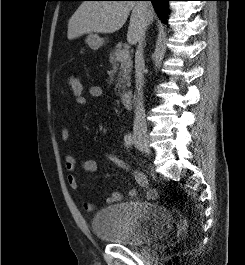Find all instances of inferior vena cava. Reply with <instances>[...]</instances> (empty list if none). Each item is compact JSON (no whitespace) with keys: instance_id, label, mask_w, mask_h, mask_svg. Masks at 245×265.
I'll list each match as a JSON object with an SVG mask.
<instances>
[{"instance_id":"602c4592","label":"inferior vena cava","mask_w":245,"mask_h":265,"mask_svg":"<svg viewBox=\"0 0 245 265\" xmlns=\"http://www.w3.org/2000/svg\"><path fill=\"white\" fill-rule=\"evenodd\" d=\"M138 6L142 15V27L139 31L138 46L135 53V78L137 88L136 108L133 122V131L135 135H144L147 132V125L145 119V109L143 105V92L142 87L144 85L143 70L144 63V47H145V32L147 26L152 20V5L149 1H140Z\"/></svg>"}]
</instances>
